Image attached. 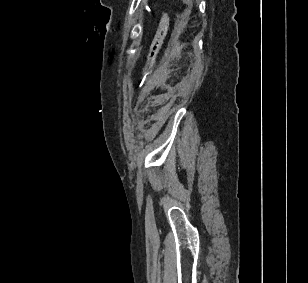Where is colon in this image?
I'll return each instance as SVG.
<instances>
[{"instance_id":"1","label":"colon","mask_w":308,"mask_h":283,"mask_svg":"<svg viewBox=\"0 0 308 283\" xmlns=\"http://www.w3.org/2000/svg\"><path fill=\"white\" fill-rule=\"evenodd\" d=\"M168 27H169V16L167 13L164 12L159 20L156 33L152 39V42L148 50L146 63L142 71L143 76H146L153 67L156 57L161 49L162 43L166 37Z\"/></svg>"}]
</instances>
